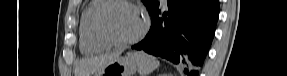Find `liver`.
<instances>
[{
  "instance_id": "6515ba94",
  "label": "liver",
  "mask_w": 287,
  "mask_h": 76,
  "mask_svg": "<svg viewBox=\"0 0 287 76\" xmlns=\"http://www.w3.org/2000/svg\"><path fill=\"white\" fill-rule=\"evenodd\" d=\"M118 57L119 53L84 58L79 62L76 68V76H89L94 72H99L107 65L109 61Z\"/></svg>"
}]
</instances>
